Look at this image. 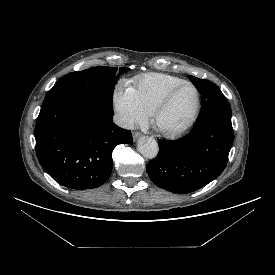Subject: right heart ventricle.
I'll return each instance as SVG.
<instances>
[{
    "label": "right heart ventricle",
    "mask_w": 275,
    "mask_h": 275,
    "mask_svg": "<svg viewBox=\"0 0 275 275\" xmlns=\"http://www.w3.org/2000/svg\"><path fill=\"white\" fill-rule=\"evenodd\" d=\"M182 81L184 80L168 74L149 73L135 79L134 89L140 103L150 113L166 91Z\"/></svg>",
    "instance_id": "1"
}]
</instances>
